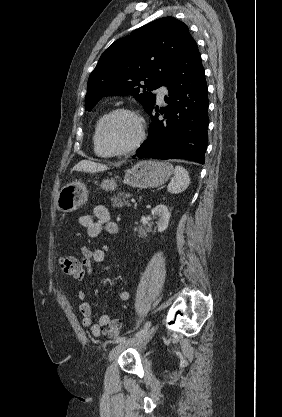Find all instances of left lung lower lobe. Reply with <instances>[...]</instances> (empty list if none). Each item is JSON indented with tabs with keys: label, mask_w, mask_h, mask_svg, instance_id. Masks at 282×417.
I'll list each match as a JSON object with an SVG mask.
<instances>
[{
	"label": "left lung lower lobe",
	"mask_w": 282,
	"mask_h": 417,
	"mask_svg": "<svg viewBox=\"0 0 282 417\" xmlns=\"http://www.w3.org/2000/svg\"><path fill=\"white\" fill-rule=\"evenodd\" d=\"M162 85L166 108L153 106L147 140L133 158L186 159L203 164L208 135L207 83L195 41L181 52ZM164 113V120L159 114Z\"/></svg>",
	"instance_id": "0a47b994"
}]
</instances>
